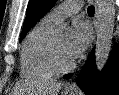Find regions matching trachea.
<instances>
[{"mask_svg":"<svg viewBox=\"0 0 119 95\" xmlns=\"http://www.w3.org/2000/svg\"><path fill=\"white\" fill-rule=\"evenodd\" d=\"M87 12H88L89 15H94V12H95L94 6H89L87 8Z\"/></svg>","mask_w":119,"mask_h":95,"instance_id":"3493384b","label":"trachea"}]
</instances>
